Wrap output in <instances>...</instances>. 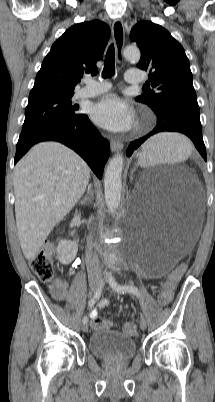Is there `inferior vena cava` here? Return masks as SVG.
Returning <instances> with one entry per match:
<instances>
[{
  "label": "inferior vena cava",
  "instance_id": "inferior-vena-cava-1",
  "mask_svg": "<svg viewBox=\"0 0 215 402\" xmlns=\"http://www.w3.org/2000/svg\"><path fill=\"white\" fill-rule=\"evenodd\" d=\"M86 265L89 281L99 283L102 279L101 268L99 266L98 257L91 251L90 245H88V251L86 253Z\"/></svg>",
  "mask_w": 215,
  "mask_h": 402
}]
</instances>
